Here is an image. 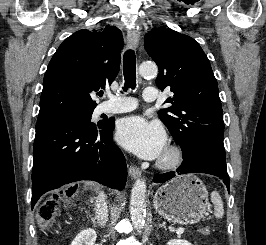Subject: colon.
I'll return each instance as SVG.
<instances>
[{
  "instance_id": "colon-1",
  "label": "colon",
  "mask_w": 266,
  "mask_h": 245,
  "mask_svg": "<svg viewBox=\"0 0 266 245\" xmlns=\"http://www.w3.org/2000/svg\"><path fill=\"white\" fill-rule=\"evenodd\" d=\"M64 202L65 198L62 195L46 199L38 209L39 224L44 228L50 227ZM200 233L203 236H209L210 229L207 227L202 228Z\"/></svg>"
}]
</instances>
